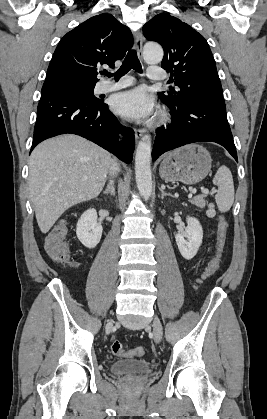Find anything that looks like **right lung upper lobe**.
Masks as SVG:
<instances>
[{"label": "right lung upper lobe", "instance_id": "right-lung-upper-lobe-1", "mask_svg": "<svg viewBox=\"0 0 267 419\" xmlns=\"http://www.w3.org/2000/svg\"><path fill=\"white\" fill-rule=\"evenodd\" d=\"M133 45L128 27L111 14H100L78 25L59 42L42 87L58 90L66 85L95 87L97 66L114 67Z\"/></svg>", "mask_w": 267, "mask_h": 419}]
</instances>
